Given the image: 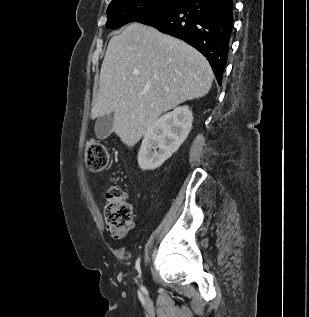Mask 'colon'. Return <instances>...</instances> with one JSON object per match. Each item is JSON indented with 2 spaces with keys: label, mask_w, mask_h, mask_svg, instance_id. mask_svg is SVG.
<instances>
[{
  "label": "colon",
  "mask_w": 309,
  "mask_h": 317,
  "mask_svg": "<svg viewBox=\"0 0 309 317\" xmlns=\"http://www.w3.org/2000/svg\"><path fill=\"white\" fill-rule=\"evenodd\" d=\"M109 162V154L105 145L90 139L85 147V163L93 172L104 170ZM104 221L108 232L114 238L126 236L133 224V212L127 194L119 187H111L106 193Z\"/></svg>",
  "instance_id": "5ec220e1"
}]
</instances>
